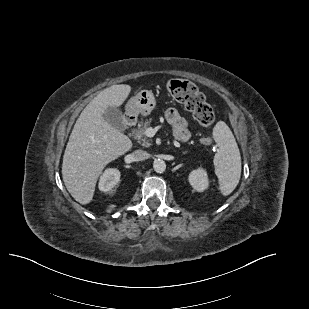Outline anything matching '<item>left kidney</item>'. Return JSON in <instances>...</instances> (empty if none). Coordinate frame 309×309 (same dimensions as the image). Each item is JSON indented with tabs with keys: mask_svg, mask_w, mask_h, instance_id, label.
<instances>
[{
	"mask_svg": "<svg viewBox=\"0 0 309 309\" xmlns=\"http://www.w3.org/2000/svg\"><path fill=\"white\" fill-rule=\"evenodd\" d=\"M190 185L199 192L204 191L207 189L209 181L207 173L204 169L198 168L193 170L188 177Z\"/></svg>",
	"mask_w": 309,
	"mask_h": 309,
	"instance_id": "5707ae66",
	"label": "left kidney"
}]
</instances>
